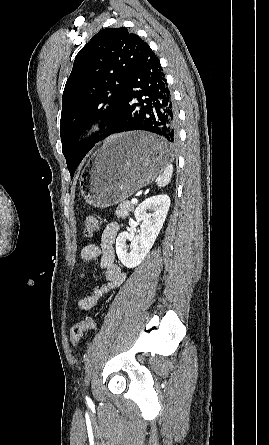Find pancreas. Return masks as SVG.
<instances>
[{
  "label": "pancreas",
  "instance_id": "cf45deb5",
  "mask_svg": "<svg viewBox=\"0 0 269 445\" xmlns=\"http://www.w3.org/2000/svg\"><path fill=\"white\" fill-rule=\"evenodd\" d=\"M134 209V205L126 201L120 204L115 212L117 218H126L129 212Z\"/></svg>",
  "mask_w": 269,
  "mask_h": 445
}]
</instances>
